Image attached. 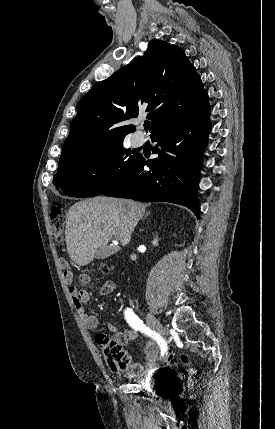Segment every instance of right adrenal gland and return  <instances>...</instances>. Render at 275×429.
Here are the masks:
<instances>
[{
  "label": "right adrenal gland",
  "instance_id": "1",
  "mask_svg": "<svg viewBox=\"0 0 275 429\" xmlns=\"http://www.w3.org/2000/svg\"><path fill=\"white\" fill-rule=\"evenodd\" d=\"M149 213H150V212H147L144 218H146V217L149 215ZM143 220H144V219H143Z\"/></svg>",
  "mask_w": 275,
  "mask_h": 429
}]
</instances>
